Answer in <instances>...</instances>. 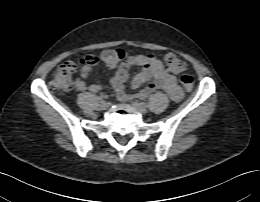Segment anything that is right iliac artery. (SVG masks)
<instances>
[{
	"mask_svg": "<svg viewBox=\"0 0 260 202\" xmlns=\"http://www.w3.org/2000/svg\"><path fill=\"white\" fill-rule=\"evenodd\" d=\"M99 99H100V100H103V99H104V97H103V96H101Z\"/></svg>",
	"mask_w": 260,
	"mask_h": 202,
	"instance_id": "right-iliac-artery-1",
	"label": "right iliac artery"
}]
</instances>
